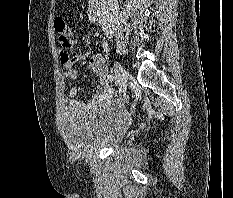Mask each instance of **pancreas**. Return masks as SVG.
<instances>
[{
    "label": "pancreas",
    "mask_w": 233,
    "mask_h": 198,
    "mask_svg": "<svg viewBox=\"0 0 233 198\" xmlns=\"http://www.w3.org/2000/svg\"><path fill=\"white\" fill-rule=\"evenodd\" d=\"M98 0H88L89 4L96 3Z\"/></svg>",
    "instance_id": "obj_1"
}]
</instances>
